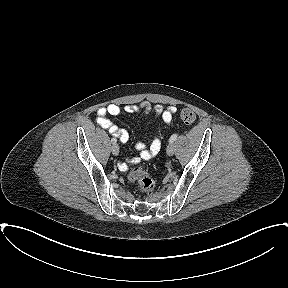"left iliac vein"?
I'll use <instances>...</instances> for the list:
<instances>
[{
    "instance_id": "left-iliac-vein-1",
    "label": "left iliac vein",
    "mask_w": 288,
    "mask_h": 288,
    "mask_svg": "<svg viewBox=\"0 0 288 288\" xmlns=\"http://www.w3.org/2000/svg\"><path fill=\"white\" fill-rule=\"evenodd\" d=\"M175 146L173 142H170L167 146L166 152L169 156H172L174 154Z\"/></svg>"
}]
</instances>
